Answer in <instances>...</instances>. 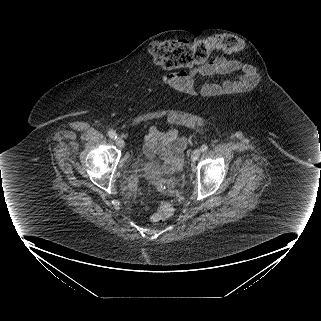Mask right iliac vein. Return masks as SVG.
<instances>
[{"label": "right iliac vein", "mask_w": 321, "mask_h": 321, "mask_svg": "<svg viewBox=\"0 0 321 321\" xmlns=\"http://www.w3.org/2000/svg\"><path fill=\"white\" fill-rule=\"evenodd\" d=\"M115 142L119 148L123 149L125 147V142L121 137H116Z\"/></svg>", "instance_id": "63e3f726"}]
</instances>
